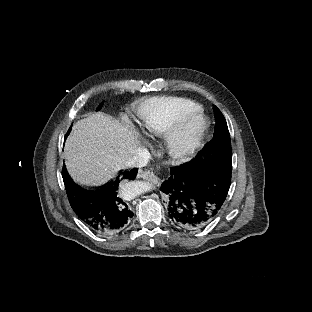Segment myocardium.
<instances>
[{
	"mask_svg": "<svg viewBox=\"0 0 312 312\" xmlns=\"http://www.w3.org/2000/svg\"><path fill=\"white\" fill-rule=\"evenodd\" d=\"M207 129L208 122L201 111L184 113L169 131L168 146L171 152L177 156L188 154L192 146L204 140Z\"/></svg>",
	"mask_w": 312,
	"mask_h": 312,
	"instance_id": "obj_1",
	"label": "myocardium"
}]
</instances>
